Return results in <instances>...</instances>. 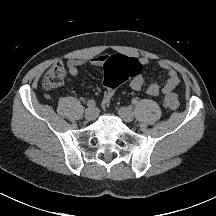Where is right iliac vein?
<instances>
[{
	"mask_svg": "<svg viewBox=\"0 0 216 216\" xmlns=\"http://www.w3.org/2000/svg\"><path fill=\"white\" fill-rule=\"evenodd\" d=\"M97 115H98V112L95 108L89 107L85 110V118L88 121L96 119Z\"/></svg>",
	"mask_w": 216,
	"mask_h": 216,
	"instance_id": "right-iliac-vein-1",
	"label": "right iliac vein"
}]
</instances>
